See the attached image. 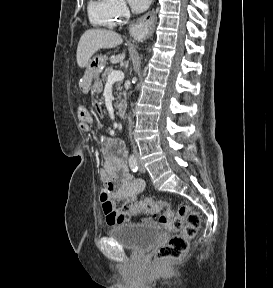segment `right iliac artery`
Segmentation results:
<instances>
[{
	"label": "right iliac artery",
	"mask_w": 273,
	"mask_h": 288,
	"mask_svg": "<svg viewBox=\"0 0 273 288\" xmlns=\"http://www.w3.org/2000/svg\"><path fill=\"white\" fill-rule=\"evenodd\" d=\"M129 166L133 172H136L138 170V163L134 155H131L129 157Z\"/></svg>",
	"instance_id": "82829eb1"
}]
</instances>
